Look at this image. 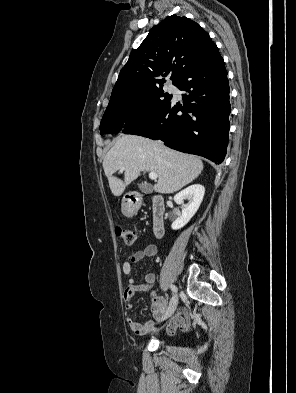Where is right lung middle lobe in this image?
<instances>
[{
    "instance_id": "right-lung-middle-lobe-1",
    "label": "right lung middle lobe",
    "mask_w": 296,
    "mask_h": 393,
    "mask_svg": "<svg viewBox=\"0 0 296 393\" xmlns=\"http://www.w3.org/2000/svg\"><path fill=\"white\" fill-rule=\"evenodd\" d=\"M172 95L162 90V85L127 99L110 101L100 124L101 134H112L154 116L171 100Z\"/></svg>"
}]
</instances>
